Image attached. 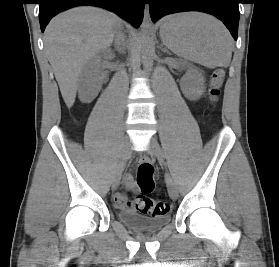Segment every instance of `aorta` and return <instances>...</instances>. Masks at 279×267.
<instances>
[{
  "label": "aorta",
  "instance_id": "obj_1",
  "mask_svg": "<svg viewBox=\"0 0 279 267\" xmlns=\"http://www.w3.org/2000/svg\"><path fill=\"white\" fill-rule=\"evenodd\" d=\"M142 62L145 71H150L153 66L154 41L152 38V24L147 8L144 9L143 21L141 24Z\"/></svg>",
  "mask_w": 279,
  "mask_h": 267
}]
</instances>
